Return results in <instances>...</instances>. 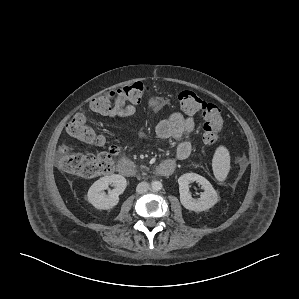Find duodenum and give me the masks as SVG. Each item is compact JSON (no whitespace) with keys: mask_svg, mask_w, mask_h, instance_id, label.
Segmentation results:
<instances>
[{"mask_svg":"<svg viewBox=\"0 0 299 299\" xmlns=\"http://www.w3.org/2000/svg\"><path fill=\"white\" fill-rule=\"evenodd\" d=\"M174 169L175 163L172 160H166L155 167V173L160 176H170ZM118 171L124 176H134L136 174L133 163L127 159H122L118 163Z\"/></svg>","mask_w":299,"mask_h":299,"instance_id":"410a0bca","label":"duodenum"}]
</instances>
